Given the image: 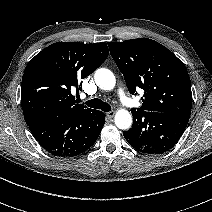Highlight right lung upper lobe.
Here are the masks:
<instances>
[{
  "label": "right lung upper lobe",
  "instance_id": "1",
  "mask_svg": "<svg viewBox=\"0 0 212 212\" xmlns=\"http://www.w3.org/2000/svg\"><path fill=\"white\" fill-rule=\"evenodd\" d=\"M109 54L106 43L57 42L28 63L22 78L21 105L27 125L47 117L90 112L75 101L71 89L93 73Z\"/></svg>",
  "mask_w": 212,
  "mask_h": 212
}]
</instances>
